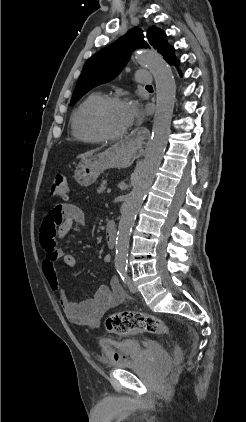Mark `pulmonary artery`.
I'll list each match as a JSON object with an SVG mask.
<instances>
[{
	"label": "pulmonary artery",
	"mask_w": 246,
	"mask_h": 422,
	"mask_svg": "<svg viewBox=\"0 0 246 422\" xmlns=\"http://www.w3.org/2000/svg\"><path fill=\"white\" fill-rule=\"evenodd\" d=\"M136 80L141 84L149 85L152 83V75L149 71L141 69L136 72Z\"/></svg>",
	"instance_id": "pulmonary-artery-1"
}]
</instances>
